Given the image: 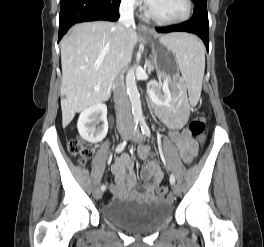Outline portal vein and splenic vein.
<instances>
[{"label":"portal vein and splenic vein","instance_id":"portal-vein-and-splenic-vein-1","mask_svg":"<svg viewBox=\"0 0 264 247\" xmlns=\"http://www.w3.org/2000/svg\"><path fill=\"white\" fill-rule=\"evenodd\" d=\"M168 79H169V76H165V81H168Z\"/></svg>","mask_w":264,"mask_h":247}]
</instances>
